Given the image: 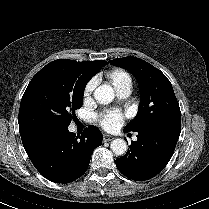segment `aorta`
I'll list each match as a JSON object with an SVG mask.
<instances>
[{
  "label": "aorta",
  "mask_w": 209,
  "mask_h": 209,
  "mask_svg": "<svg viewBox=\"0 0 209 209\" xmlns=\"http://www.w3.org/2000/svg\"><path fill=\"white\" fill-rule=\"evenodd\" d=\"M115 97L114 90L109 85H100L94 91V98L101 104H108ZM110 148L115 155H124L127 151V143L124 139L117 138L111 142Z\"/></svg>",
  "instance_id": "1"
}]
</instances>
